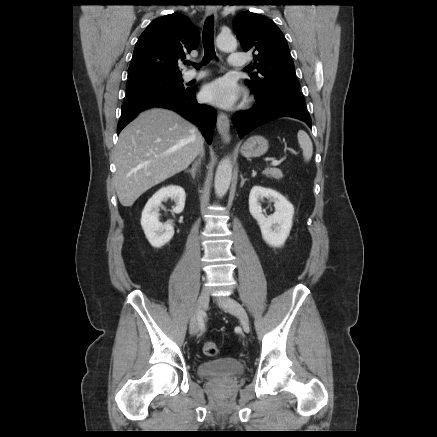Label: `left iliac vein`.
Masks as SVG:
<instances>
[{
    "instance_id": "obj_1",
    "label": "left iliac vein",
    "mask_w": 437,
    "mask_h": 437,
    "mask_svg": "<svg viewBox=\"0 0 437 437\" xmlns=\"http://www.w3.org/2000/svg\"><path fill=\"white\" fill-rule=\"evenodd\" d=\"M218 304L229 313L235 315L241 322L244 330L249 329V320L245 309L234 299L230 297H220L217 299Z\"/></svg>"
}]
</instances>
